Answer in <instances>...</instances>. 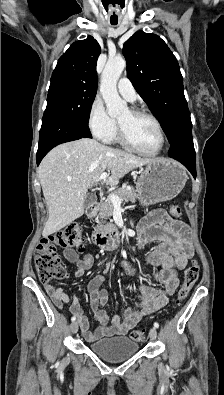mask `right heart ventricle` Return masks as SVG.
<instances>
[{
  "mask_svg": "<svg viewBox=\"0 0 224 395\" xmlns=\"http://www.w3.org/2000/svg\"><path fill=\"white\" fill-rule=\"evenodd\" d=\"M106 141L107 142H119L117 130H115L113 132V134L108 139H106Z\"/></svg>",
  "mask_w": 224,
  "mask_h": 395,
  "instance_id": "right-heart-ventricle-1",
  "label": "right heart ventricle"
}]
</instances>
